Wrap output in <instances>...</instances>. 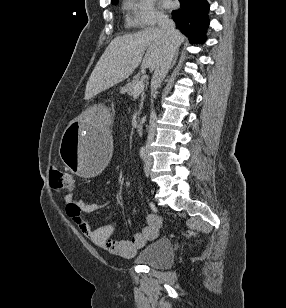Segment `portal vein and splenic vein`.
<instances>
[{
  "label": "portal vein and splenic vein",
  "mask_w": 286,
  "mask_h": 308,
  "mask_svg": "<svg viewBox=\"0 0 286 308\" xmlns=\"http://www.w3.org/2000/svg\"><path fill=\"white\" fill-rule=\"evenodd\" d=\"M144 87L145 85L142 79L134 86V95H139L144 90Z\"/></svg>",
  "instance_id": "18ae733b"
}]
</instances>
